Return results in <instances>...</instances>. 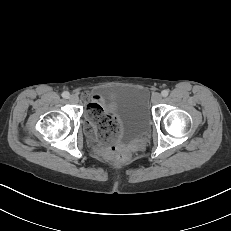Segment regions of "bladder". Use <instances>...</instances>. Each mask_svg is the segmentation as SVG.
<instances>
[{
  "mask_svg": "<svg viewBox=\"0 0 231 231\" xmlns=\"http://www.w3.org/2000/svg\"><path fill=\"white\" fill-rule=\"evenodd\" d=\"M104 109L117 115L120 128L116 138L132 142L144 138L150 131L149 93L139 86H125L104 92L99 98Z\"/></svg>",
  "mask_w": 231,
  "mask_h": 231,
  "instance_id": "1",
  "label": "bladder"
}]
</instances>
